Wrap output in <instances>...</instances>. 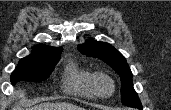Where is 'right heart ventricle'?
Masks as SVG:
<instances>
[{
  "label": "right heart ventricle",
  "instance_id": "obj_1",
  "mask_svg": "<svg viewBox=\"0 0 171 110\" xmlns=\"http://www.w3.org/2000/svg\"><path fill=\"white\" fill-rule=\"evenodd\" d=\"M92 73L78 64L71 62L69 63L62 77V86L66 93L83 97V98H94L91 83Z\"/></svg>",
  "mask_w": 171,
  "mask_h": 110
}]
</instances>
